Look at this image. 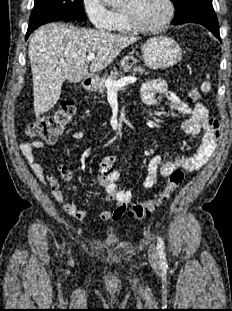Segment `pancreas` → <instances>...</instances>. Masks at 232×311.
Wrapping results in <instances>:
<instances>
[{"label": "pancreas", "mask_w": 232, "mask_h": 311, "mask_svg": "<svg viewBox=\"0 0 232 311\" xmlns=\"http://www.w3.org/2000/svg\"><path fill=\"white\" fill-rule=\"evenodd\" d=\"M131 71L133 73V75H136L137 73H139L140 75L142 74H146L148 75L149 72L145 71V69L139 65H134L131 63H126L122 65V71H117L115 70L114 72H112L109 76H105L101 79L98 80V85H97V89L99 91V94L104 95V93L106 92V85L105 82L108 79L111 80H117L119 76L124 75L125 73Z\"/></svg>", "instance_id": "cf45deb5"}]
</instances>
